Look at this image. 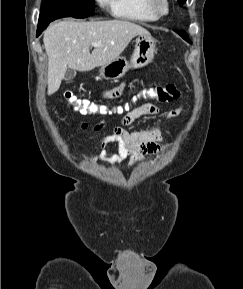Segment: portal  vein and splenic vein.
Segmentation results:
<instances>
[{
	"instance_id": "1",
	"label": "portal vein and splenic vein",
	"mask_w": 243,
	"mask_h": 289,
	"mask_svg": "<svg viewBox=\"0 0 243 289\" xmlns=\"http://www.w3.org/2000/svg\"><path fill=\"white\" fill-rule=\"evenodd\" d=\"M93 47H97V46H101L102 44L101 43H92L91 44Z\"/></svg>"
}]
</instances>
